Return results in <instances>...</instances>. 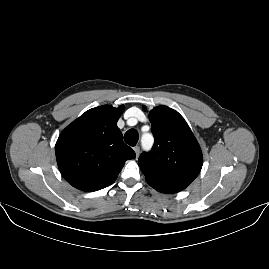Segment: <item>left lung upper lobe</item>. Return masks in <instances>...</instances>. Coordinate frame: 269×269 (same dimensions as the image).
<instances>
[{
    "label": "left lung upper lobe",
    "instance_id": "obj_1",
    "mask_svg": "<svg viewBox=\"0 0 269 269\" xmlns=\"http://www.w3.org/2000/svg\"><path fill=\"white\" fill-rule=\"evenodd\" d=\"M149 119L155 142L152 150L142 153L138 161L146 181L187 187L203 164L192 131L182 116L167 106L152 109Z\"/></svg>",
    "mask_w": 269,
    "mask_h": 269
}]
</instances>
